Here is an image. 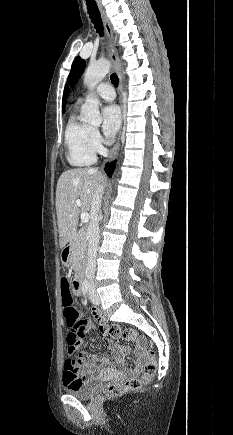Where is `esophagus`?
<instances>
[{
  "label": "esophagus",
  "instance_id": "34e87169",
  "mask_svg": "<svg viewBox=\"0 0 233 435\" xmlns=\"http://www.w3.org/2000/svg\"><path fill=\"white\" fill-rule=\"evenodd\" d=\"M99 10L101 12L102 18H103V22H104V26H105V30L108 36V42H109V51H110V58L112 60L113 63V68L114 71L116 72V74L118 75V79H119V101H120V105H121V128L119 131V135L117 138V142L116 144L113 146V148L111 149L109 155H108V161L113 160L119 151L120 148V139H121V135H122V130H123V118H124V105H123V99H122V92H123V80H122V75H121V68H120V62H119V58H118V51L116 49L115 46V42H114V35H113V31H112V27L111 24L102 8V5L100 4L99 1H97Z\"/></svg>",
  "mask_w": 233,
  "mask_h": 435
}]
</instances>
